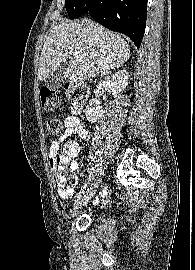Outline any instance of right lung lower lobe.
Listing matches in <instances>:
<instances>
[{"mask_svg":"<svg viewBox=\"0 0 195 270\" xmlns=\"http://www.w3.org/2000/svg\"><path fill=\"white\" fill-rule=\"evenodd\" d=\"M89 13L106 28L126 34L139 49L146 26L147 0H88Z\"/></svg>","mask_w":195,"mask_h":270,"instance_id":"obj_1","label":"right lung lower lobe"}]
</instances>
